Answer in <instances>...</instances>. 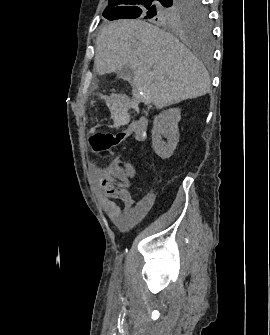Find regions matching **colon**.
<instances>
[{
  "instance_id": "colon-1",
  "label": "colon",
  "mask_w": 270,
  "mask_h": 335,
  "mask_svg": "<svg viewBox=\"0 0 270 335\" xmlns=\"http://www.w3.org/2000/svg\"><path fill=\"white\" fill-rule=\"evenodd\" d=\"M131 134L129 129L117 133L98 131L90 137L92 151L96 154H102L113 150L122 145Z\"/></svg>"
}]
</instances>
